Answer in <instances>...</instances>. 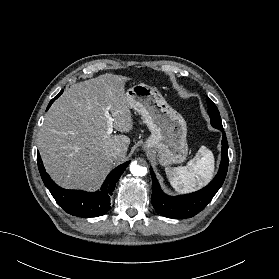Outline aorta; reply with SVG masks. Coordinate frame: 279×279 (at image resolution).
I'll list each match as a JSON object with an SVG mask.
<instances>
[{"label": "aorta", "mask_w": 279, "mask_h": 279, "mask_svg": "<svg viewBox=\"0 0 279 279\" xmlns=\"http://www.w3.org/2000/svg\"><path fill=\"white\" fill-rule=\"evenodd\" d=\"M130 171L134 176H145L147 173V168L140 166L136 161L130 164Z\"/></svg>", "instance_id": "aorta-1"}]
</instances>
